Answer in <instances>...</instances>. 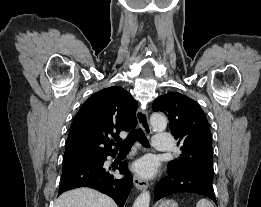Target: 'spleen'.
<instances>
[{
    "label": "spleen",
    "instance_id": "spleen-1",
    "mask_svg": "<svg viewBox=\"0 0 261 207\" xmlns=\"http://www.w3.org/2000/svg\"><path fill=\"white\" fill-rule=\"evenodd\" d=\"M196 207H214L213 204L206 200V199H200L197 204Z\"/></svg>",
    "mask_w": 261,
    "mask_h": 207
}]
</instances>
